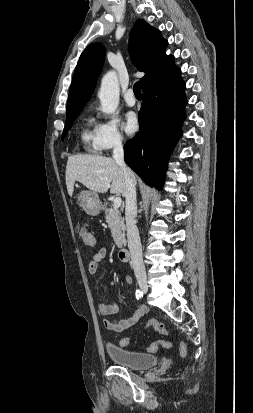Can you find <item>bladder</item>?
I'll return each instance as SVG.
<instances>
[{"mask_svg":"<svg viewBox=\"0 0 253 413\" xmlns=\"http://www.w3.org/2000/svg\"><path fill=\"white\" fill-rule=\"evenodd\" d=\"M106 352L116 365L130 369H148L158 364V358L155 355L127 350L114 344H107Z\"/></svg>","mask_w":253,"mask_h":413,"instance_id":"bladder-1","label":"bladder"}]
</instances>
